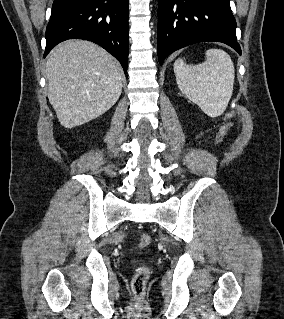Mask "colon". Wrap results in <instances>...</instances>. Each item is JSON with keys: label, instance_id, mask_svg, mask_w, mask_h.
<instances>
[{"label": "colon", "instance_id": "obj_1", "mask_svg": "<svg viewBox=\"0 0 284 319\" xmlns=\"http://www.w3.org/2000/svg\"><path fill=\"white\" fill-rule=\"evenodd\" d=\"M235 117H236V114L234 112H228L224 115L223 123L220 126L218 130V134H217L218 142H221L224 140L230 127L233 124ZM150 243H151V236L149 234H142L140 236L139 238L140 248H146L150 245ZM148 277H149V270L145 266L140 267L135 273L132 280V289L137 296H140L144 293Z\"/></svg>", "mask_w": 284, "mask_h": 319}]
</instances>
